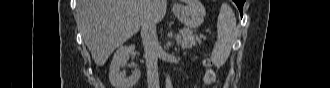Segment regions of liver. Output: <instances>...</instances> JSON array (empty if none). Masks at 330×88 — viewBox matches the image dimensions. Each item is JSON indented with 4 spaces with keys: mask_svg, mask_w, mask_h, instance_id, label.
Masks as SVG:
<instances>
[{
    "mask_svg": "<svg viewBox=\"0 0 330 88\" xmlns=\"http://www.w3.org/2000/svg\"><path fill=\"white\" fill-rule=\"evenodd\" d=\"M166 9L167 0H79L76 12L84 42L94 62L102 66L140 30L146 17L160 22Z\"/></svg>",
    "mask_w": 330,
    "mask_h": 88,
    "instance_id": "liver-1",
    "label": "liver"
}]
</instances>
